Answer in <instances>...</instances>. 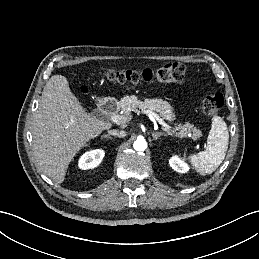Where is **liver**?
Listing matches in <instances>:
<instances>
[{"label":"liver","instance_id":"6515ba94","mask_svg":"<svg viewBox=\"0 0 259 259\" xmlns=\"http://www.w3.org/2000/svg\"><path fill=\"white\" fill-rule=\"evenodd\" d=\"M112 124L85 112L65 76L46 83L32 124L34 157L40 169L61 184L77 152Z\"/></svg>","mask_w":259,"mask_h":259}]
</instances>
